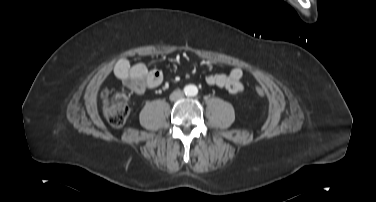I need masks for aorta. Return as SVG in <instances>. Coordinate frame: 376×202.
<instances>
[{
    "instance_id": "1",
    "label": "aorta",
    "mask_w": 376,
    "mask_h": 202,
    "mask_svg": "<svg viewBox=\"0 0 376 202\" xmlns=\"http://www.w3.org/2000/svg\"><path fill=\"white\" fill-rule=\"evenodd\" d=\"M198 93V88L195 85H188L186 87V94L190 96H195Z\"/></svg>"
}]
</instances>
